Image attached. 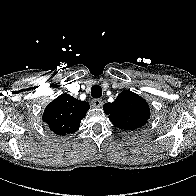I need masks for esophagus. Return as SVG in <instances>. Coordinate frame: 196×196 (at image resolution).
Listing matches in <instances>:
<instances>
[{
    "label": "esophagus",
    "mask_w": 196,
    "mask_h": 196,
    "mask_svg": "<svg viewBox=\"0 0 196 196\" xmlns=\"http://www.w3.org/2000/svg\"><path fill=\"white\" fill-rule=\"evenodd\" d=\"M91 104H92L93 107H101L103 102H102L101 99H93L91 101Z\"/></svg>",
    "instance_id": "obj_1"
}]
</instances>
